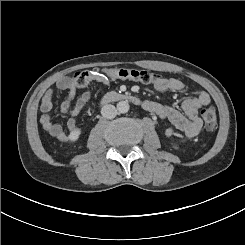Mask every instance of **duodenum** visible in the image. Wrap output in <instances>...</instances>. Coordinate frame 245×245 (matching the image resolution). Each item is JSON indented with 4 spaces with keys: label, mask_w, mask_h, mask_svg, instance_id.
I'll list each match as a JSON object with an SVG mask.
<instances>
[{
    "label": "duodenum",
    "mask_w": 245,
    "mask_h": 245,
    "mask_svg": "<svg viewBox=\"0 0 245 245\" xmlns=\"http://www.w3.org/2000/svg\"><path fill=\"white\" fill-rule=\"evenodd\" d=\"M117 101H130L134 104H141V101L136 96L128 94V93H122V92L107 93L106 95L103 96L101 103L108 104V103L117 102Z\"/></svg>",
    "instance_id": "obj_1"
}]
</instances>
